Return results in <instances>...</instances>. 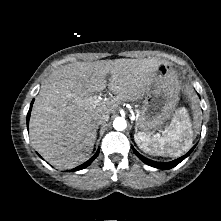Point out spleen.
I'll list each match as a JSON object with an SVG mask.
<instances>
[{
	"label": "spleen",
	"instance_id": "3e777b00",
	"mask_svg": "<svg viewBox=\"0 0 221 221\" xmlns=\"http://www.w3.org/2000/svg\"><path fill=\"white\" fill-rule=\"evenodd\" d=\"M138 147L145 153L178 157L190 149L193 142L192 123L185 108L177 110L163 135L139 132L134 135Z\"/></svg>",
	"mask_w": 221,
	"mask_h": 221
}]
</instances>
